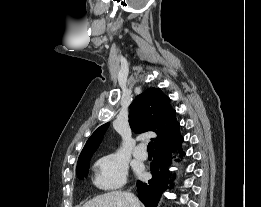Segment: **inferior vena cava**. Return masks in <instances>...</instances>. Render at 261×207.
I'll return each instance as SVG.
<instances>
[{"label":"inferior vena cava","instance_id":"inferior-vena-cava-1","mask_svg":"<svg viewBox=\"0 0 261 207\" xmlns=\"http://www.w3.org/2000/svg\"><path fill=\"white\" fill-rule=\"evenodd\" d=\"M125 197L129 202V207H140L138 199L130 192H125Z\"/></svg>","mask_w":261,"mask_h":207}]
</instances>
